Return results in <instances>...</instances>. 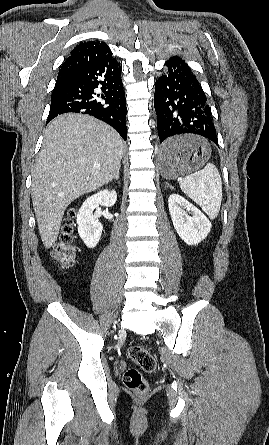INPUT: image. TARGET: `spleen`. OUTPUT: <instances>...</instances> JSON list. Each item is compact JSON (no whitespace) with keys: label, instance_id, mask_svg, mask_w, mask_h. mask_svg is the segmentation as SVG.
<instances>
[{"label":"spleen","instance_id":"3e777b00","mask_svg":"<svg viewBox=\"0 0 269 445\" xmlns=\"http://www.w3.org/2000/svg\"><path fill=\"white\" fill-rule=\"evenodd\" d=\"M181 190L196 202L210 219H215L220 211L222 202L221 176L212 163L199 171L179 178Z\"/></svg>","mask_w":269,"mask_h":445}]
</instances>
